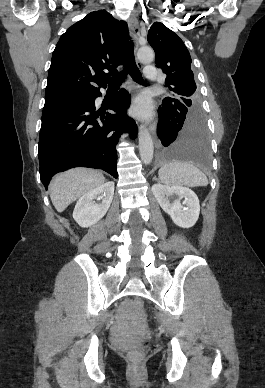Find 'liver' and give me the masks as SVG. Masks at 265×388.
Returning <instances> with one entry per match:
<instances>
[{
  "instance_id": "1",
  "label": "liver",
  "mask_w": 265,
  "mask_h": 388,
  "mask_svg": "<svg viewBox=\"0 0 265 388\" xmlns=\"http://www.w3.org/2000/svg\"><path fill=\"white\" fill-rule=\"evenodd\" d=\"M105 178L101 172L75 168L63 174H58L50 182L49 192L51 202L57 212H64L69 204L87 194L90 190L104 184Z\"/></svg>"
}]
</instances>
